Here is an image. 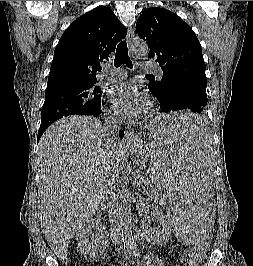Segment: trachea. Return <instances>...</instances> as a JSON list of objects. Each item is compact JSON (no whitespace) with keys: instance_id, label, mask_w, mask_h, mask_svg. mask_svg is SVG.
I'll list each match as a JSON object with an SVG mask.
<instances>
[{"instance_id":"1","label":"trachea","mask_w":253,"mask_h":266,"mask_svg":"<svg viewBox=\"0 0 253 266\" xmlns=\"http://www.w3.org/2000/svg\"><path fill=\"white\" fill-rule=\"evenodd\" d=\"M121 64H126L127 67L132 68V62L128 55L127 43L126 41H121L116 49V55L114 60L115 67L121 66ZM152 76V75H151Z\"/></svg>"}]
</instances>
